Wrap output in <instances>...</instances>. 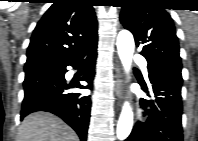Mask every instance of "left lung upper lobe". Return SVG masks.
<instances>
[{"mask_svg": "<svg viewBox=\"0 0 198 141\" xmlns=\"http://www.w3.org/2000/svg\"><path fill=\"white\" fill-rule=\"evenodd\" d=\"M120 21L131 31L148 62V71L170 69L181 73L179 43L170 15L159 0H128Z\"/></svg>", "mask_w": 198, "mask_h": 141, "instance_id": "obj_1", "label": "left lung upper lobe"}]
</instances>
